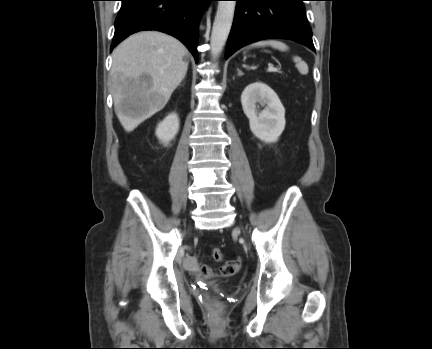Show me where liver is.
Instances as JSON below:
<instances>
[{
  "mask_svg": "<svg viewBox=\"0 0 432 349\" xmlns=\"http://www.w3.org/2000/svg\"><path fill=\"white\" fill-rule=\"evenodd\" d=\"M187 55L180 41L157 31L135 33L114 49L110 73L113 101L127 132L165 107L187 73ZM143 75L146 80L141 79ZM125 101L133 104L131 112L123 111Z\"/></svg>",
  "mask_w": 432,
  "mask_h": 349,
  "instance_id": "6515ba94",
  "label": "liver"
}]
</instances>
